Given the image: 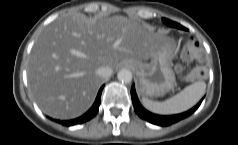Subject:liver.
Wrapping results in <instances>:
<instances>
[{"label": "liver", "mask_w": 238, "mask_h": 145, "mask_svg": "<svg viewBox=\"0 0 238 145\" xmlns=\"http://www.w3.org/2000/svg\"><path fill=\"white\" fill-rule=\"evenodd\" d=\"M166 42L147 25L124 16L66 14L35 40L27 67L31 94L45 114L76 118L90 108L103 82L96 73L99 67L147 60Z\"/></svg>", "instance_id": "6515ba94"}]
</instances>
